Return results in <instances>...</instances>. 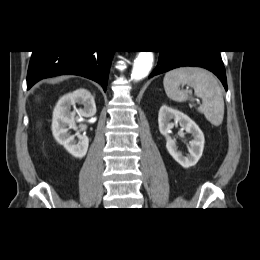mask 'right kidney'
I'll use <instances>...</instances> for the list:
<instances>
[{
  "label": "right kidney",
  "instance_id": "1",
  "mask_svg": "<svg viewBox=\"0 0 260 260\" xmlns=\"http://www.w3.org/2000/svg\"><path fill=\"white\" fill-rule=\"evenodd\" d=\"M76 104L83 108L76 109ZM71 107L74 110H71ZM96 113L94 97L86 89H78L64 95L57 102L52 118V133L55 140L62 145L72 156L83 158L88 150L89 139L85 134H80L75 123V115L92 117ZM76 133L71 135L69 130Z\"/></svg>",
  "mask_w": 260,
  "mask_h": 260
}]
</instances>
